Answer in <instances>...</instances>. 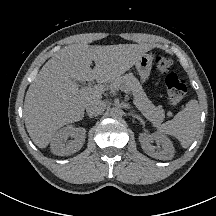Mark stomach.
Here are the masks:
<instances>
[{"instance_id":"0dacf381","label":"stomach","mask_w":216,"mask_h":216,"mask_svg":"<svg viewBox=\"0 0 216 216\" xmlns=\"http://www.w3.org/2000/svg\"><path fill=\"white\" fill-rule=\"evenodd\" d=\"M152 61V55L144 54L135 64V67L140 75L142 82H146L149 79L152 68Z\"/></svg>"}]
</instances>
